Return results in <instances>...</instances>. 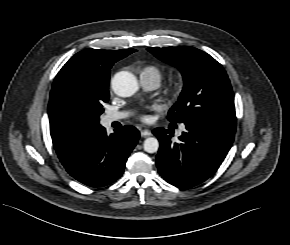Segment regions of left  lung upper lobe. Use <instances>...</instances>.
Returning a JSON list of instances; mask_svg holds the SVG:
<instances>
[{"mask_svg":"<svg viewBox=\"0 0 290 245\" xmlns=\"http://www.w3.org/2000/svg\"><path fill=\"white\" fill-rule=\"evenodd\" d=\"M161 61L178 68L184 87L178 101L168 112L171 122L201 119L235 131L234 94L229 78L209 54L190 46L148 48Z\"/></svg>","mask_w":290,"mask_h":245,"instance_id":"5c2ea615","label":"left lung upper lobe"}]
</instances>
